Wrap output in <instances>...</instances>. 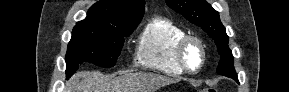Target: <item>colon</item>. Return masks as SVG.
Segmentation results:
<instances>
[{
  "instance_id": "1",
  "label": "colon",
  "mask_w": 289,
  "mask_h": 92,
  "mask_svg": "<svg viewBox=\"0 0 289 92\" xmlns=\"http://www.w3.org/2000/svg\"><path fill=\"white\" fill-rule=\"evenodd\" d=\"M203 92H216L215 89H207V90H204Z\"/></svg>"
}]
</instances>
